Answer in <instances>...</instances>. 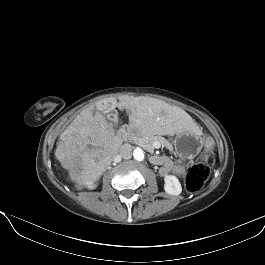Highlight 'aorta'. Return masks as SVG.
I'll use <instances>...</instances> for the list:
<instances>
[{
    "mask_svg": "<svg viewBox=\"0 0 265 265\" xmlns=\"http://www.w3.org/2000/svg\"><path fill=\"white\" fill-rule=\"evenodd\" d=\"M133 157L137 161H143L144 160V151L141 148H135L133 150Z\"/></svg>",
    "mask_w": 265,
    "mask_h": 265,
    "instance_id": "1",
    "label": "aorta"
}]
</instances>
